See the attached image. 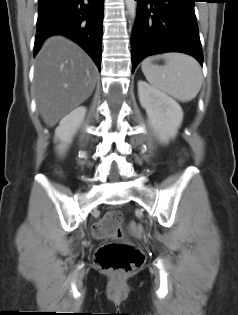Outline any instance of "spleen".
<instances>
[{
	"label": "spleen",
	"mask_w": 238,
	"mask_h": 315,
	"mask_svg": "<svg viewBox=\"0 0 238 315\" xmlns=\"http://www.w3.org/2000/svg\"><path fill=\"white\" fill-rule=\"evenodd\" d=\"M157 59H164L165 65L152 64ZM141 69L154 88L180 102L194 99L203 82L199 62L183 53H166L149 57L142 62Z\"/></svg>",
	"instance_id": "spleen-1"
}]
</instances>
